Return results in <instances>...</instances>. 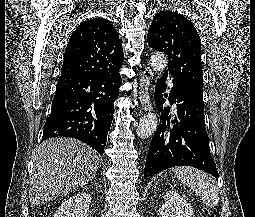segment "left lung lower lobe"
I'll return each instance as SVG.
<instances>
[{"instance_id":"1","label":"left lung lower lobe","mask_w":255,"mask_h":217,"mask_svg":"<svg viewBox=\"0 0 255 217\" xmlns=\"http://www.w3.org/2000/svg\"><path fill=\"white\" fill-rule=\"evenodd\" d=\"M166 72L157 82L155 102L160 112V123L152 138L144 177L157 174L175 166H191L213 175L218 179L215 162L210 154L209 139L205 129L203 93L187 83L173 79L170 103H177V116L170 121L169 107L162 94L166 89Z\"/></svg>"}]
</instances>
